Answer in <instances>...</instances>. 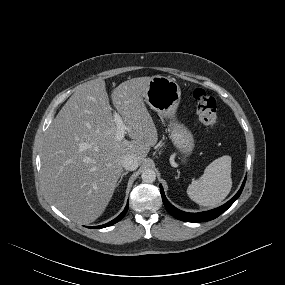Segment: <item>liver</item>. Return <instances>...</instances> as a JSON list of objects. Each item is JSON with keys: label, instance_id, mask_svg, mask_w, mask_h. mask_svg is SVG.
Instances as JSON below:
<instances>
[{"label": "liver", "instance_id": "1", "mask_svg": "<svg viewBox=\"0 0 285 285\" xmlns=\"http://www.w3.org/2000/svg\"><path fill=\"white\" fill-rule=\"evenodd\" d=\"M152 77L122 82L113 104L131 141L116 140V124L105 81L79 85L47 130L41 154V177L50 201L69 219L89 224L102 215L122 176L121 158L142 163L158 141L144 104Z\"/></svg>", "mask_w": 285, "mask_h": 285}]
</instances>
